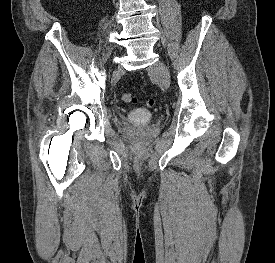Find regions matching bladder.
<instances>
[{
    "label": "bladder",
    "instance_id": "obj_1",
    "mask_svg": "<svg viewBox=\"0 0 275 263\" xmlns=\"http://www.w3.org/2000/svg\"><path fill=\"white\" fill-rule=\"evenodd\" d=\"M152 113L143 108L130 110L126 115V121L131 125L143 126L152 120Z\"/></svg>",
    "mask_w": 275,
    "mask_h": 263
}]
</instances>
